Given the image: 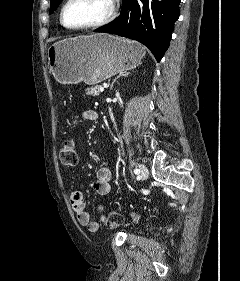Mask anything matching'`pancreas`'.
I'll use <instances>...</instances> for the list:
<instances>
[{
  "instance_id": "pancreas-1",
  "label": "pancreas",
  "mask_w": 240,
  "mask_h": 281,
  "mask_svg": "<svg viewBox=\"0 0 240 281\" xmlns=\"http://www.w3.org/2000/svg\"><path fill=\"white\" fill-rule=\"evenodd\" d=\"M86 94L91 96H98L100 94L99 92V86H92L90 88L86 89Z\"/></svg>"
}]
</instances>
